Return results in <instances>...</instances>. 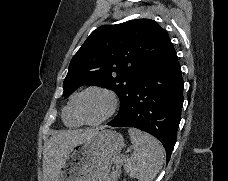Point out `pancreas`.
<instances>
[{
	"label": "pancreas",
	"mask_w": 228,
	"mask_h": 181,
	"mask_svg": "<svg viewBox=\"0 0 228 181\" xmlns=\"http://www.w3.org/2000/svg\"><path fill=\"white\" fill-rule=\"evenodd\" d=\"M120 175H121V171L118 167L117 171H113V173H110L107 181H116V179H118V177H120Z\"/></svg>",
	"instance_id": "1"
}]
</instances>
